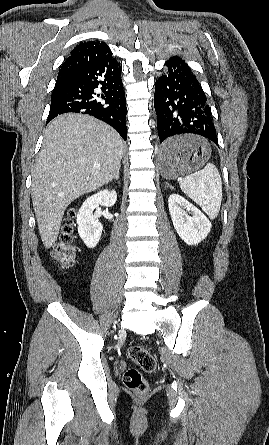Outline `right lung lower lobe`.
I'll list each match as a JSON object with an SVG mask.
<instances>
[{
    "label": "right lung lower lobe",
    "instance_id": "right-lung-lower-lobe-1",
    "mask_svg": "<svg viewBox=\"0 0 269 445\" xmlns=\"http://www.w3.org/2000/svg\"><path fill=\"white\" fill-rule=\"evenodd\" d=\"M54 89L59 95L51 99L47 123L67 112L88 114L111 125L126 140L125 93L121 66L114 58L81 69Z\"/></svg>",
    "mask_w": 269,
    "mask_h": 445
}]
</instances>
